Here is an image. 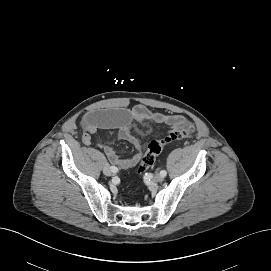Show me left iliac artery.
I'll list each match as a JSON object with an SVG mask.
<instances>
[{"mask_svg":"<svg viewBox=\"0 0 271 271\" xmlns=\"http://www.w3.org/2000/svg\"><path fill=\"white\" fill-rule=\"evenodd\" d=\"M160 174H161L163 177H165V176L167 175V172H166V170H162V171L160 172Z\"/></svg>","mask_w":271,"mask_h":271,"instance_id":"obj_1","label":"left iliac artery"}]
</instances>
